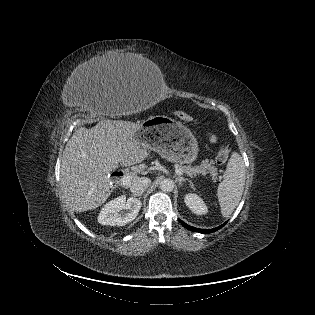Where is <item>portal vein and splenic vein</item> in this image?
<instances>
[{
	"mask_svg": "<svg viewBox=\"0 0 315 315\" xmlns=\"http://www.w3.org/2000/svg\"><path fill=\"white\" fill-rule=\"evenodd\" d=\"M175 172L178 174V175H183V171L181 170V169H179V168H176L175 169ZM131 179H132V175L131 174H126V175H124L122 178H121V184L122 185H128L129 183H130V181H131Z\"/></svg>",
	"mask_w": 315,
	"mask_h": 315,
	"instance_id": "18ae733b",
	"label": "portal vein and splenic vein"
}]
</instances>
